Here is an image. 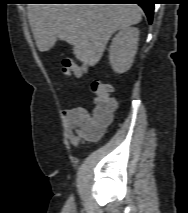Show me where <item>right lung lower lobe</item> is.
Wrapping results in <instances>:
<instances>
[{"mask_svg": "<svg viewBox=\"0 0 188 213\" xmlns=\"http://www.w3.org/2000/svg\"><path fill=\"white\" fill-rule=\"evenodd\" d=\"M75 3H134L140 5L145 11L149 23L152 22L154 4L156 0H69Z\"/></svg>", "mask_w": 188, "mask_h": 213, "instance_id": "1", "label": "right lung lower lobe"}]
</instances>
